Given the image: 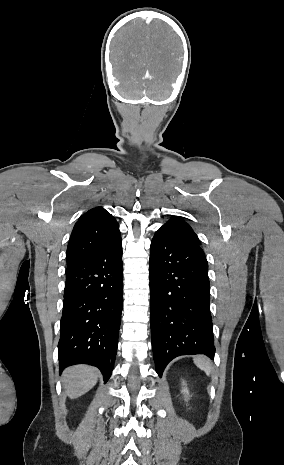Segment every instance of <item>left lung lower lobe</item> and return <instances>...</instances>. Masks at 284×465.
Masks as SVG:
<instances>
[{
    "label": "left lung lower lobe",
    "instance_id": "left-lung-lower-lobe-1",
    "mask_svg": "<svg viewBox=\"0 0 284 465\" xmlns=\"http://www.w3.org/2000/svg\"><path fill=\"white\" fill-rule=\"evenodd\" d=\"M208 264L200 245L158 230L150 251V323L159 376L175 357L214 358Z\"/></svg>",
    "mask_w": 284,
    "mask_h": 465
}]
</instances>
